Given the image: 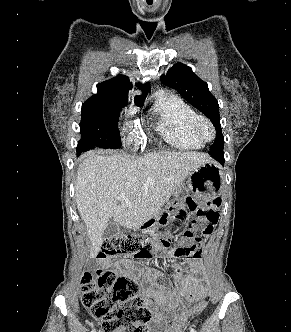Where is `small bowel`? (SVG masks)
<instances>
[{
	"instance_id": "c3829d8e",
	"label": "small bowel",
	"mask_w": 291,
	"mask_h": 332,
	"mask_svg": "<svg viewBox=\"0 0 291 332\" xmlns=\"http://www.w3.org/2000/svg\"><path fill=\"white\" fill-rule=\"evenodd\" d=\"M172 251L168 250L167 255L173 257ZM200 258L201 252L196 259L189 258V276H184L178 266H171L169 275L174 281L173 288H167L160 283L159 280L163 277L161 271L128 257L120 258L116 262L105 257L100 263L104 267L115 266L140 281L143 286L142 297L153 312L150 332H165L168 331L175 310L183 308L186 302L196 301L205 295L203 285L196 278L203 268Z\"/></svg>"
}]
</instances>
